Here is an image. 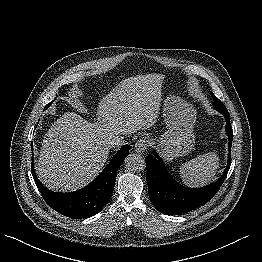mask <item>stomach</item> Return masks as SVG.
Here are the masks:
<instances>
[{
  "instance_id": "obj_1",
  "label": "stomach",
  "mask_w": 262,
  "mask_h": 262,
  "mask_svg": "<svg viewBox=\"0 0 262 262\" xmlns=\"http://www.w3.org/2000/svg\"><path fill=\"white\" fill-rule=\"evenodd\" d=\"M163 118L167 131L158 144L165 160L171 161L187 155L195 144L193 128L196 123L195 108L176 95H169L163 102Z\"/></svg>"
}]
</instances>
